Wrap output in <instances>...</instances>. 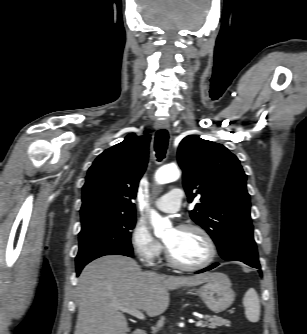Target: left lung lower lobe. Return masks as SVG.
Listing matches in <instances>:
<instances>
[{
  "label": "left lung lower lobe",
  "instance_id": "obj_1",
  "mask_svg": "<svg viewBox=\"0 0 307 334\" xmlns=\"http://www.w3.org/2000/svg\"><path fill=\"white\" fill-rule=\"evenodd\" d=\"M221 257L226 261L243 262L251 267L259 269V273H262L258 260L257 247L253 237H237L232 239L226 247V253L221 255ZM218 265V263H215L197 273L211 270Z\"/></svg>",
  "mask_w": 307,
  "mask_h": 334
}]
</instances>
